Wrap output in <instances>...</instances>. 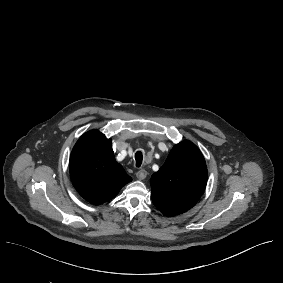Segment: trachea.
<instances>
[{
    "label": "trachea",
    "instance_id": "3493384b",
    "mask_svg": "<svg viewBox=\"0 0 283 283\" xmlns=\"http://www.w3.org/2000/svg\"><path fill=\"white\" fill-rule=\"evenodd\" d=\"M135 160H136V166L140 167L142 164V160H143V154L141 151H137L135 153Z\"/></svg>",
    "mask_w": 283,
    "mask_h": 283
}]
</instances>
